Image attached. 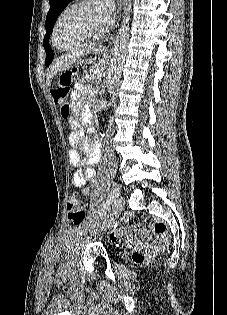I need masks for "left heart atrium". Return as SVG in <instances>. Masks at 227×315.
<instances>
[{"mask_svg":"<svg viewBox=\"0 0 227 315\" xmlns=\"http://www.w3.org/2000/svg\"><path fill=\"white\" fill-rule=\"evenodd\" d=\"M98 5L100 6L106 22H109L111 18V13L114 10V2L113 0H97Z\"/></svg>","mask_w":227,"mask_h":315,"instance_id":"1","label":"left heart atrium"}]
</instances>
